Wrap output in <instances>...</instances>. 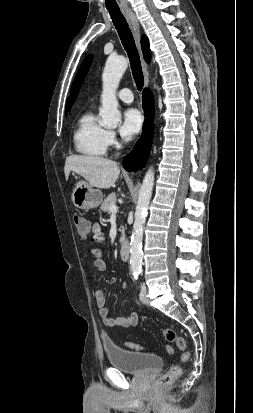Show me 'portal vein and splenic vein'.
I'll use <instances>...</instances> for the list:
<instances>
[{"label":"portal vein and splenic vein","mask_w":253,"mask_h":413,"mask_svg":"<svg viewBox=\"0 0 253 413\" xmlns=\"http://www.w3.org/2000/svg\"><path fill=\"white\" fill-rule=\"evenodd\" d=\"M110 212L115 215L117 213V207L115 205L110 207Z\"/></svg>","instance_id":"portal-vein-and-splenic-vein-1"}]
</instances>
